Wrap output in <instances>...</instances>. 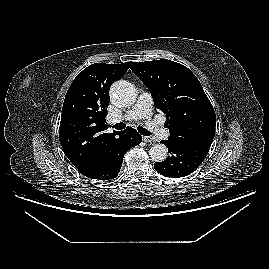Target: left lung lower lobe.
I'll return each mask as SVG.
<instances>
[{"label":"left lung lower lobe","instance_id":"0a47b994","mask_svg":"<svg viewBox=\"0 0 269 269\" xmlns=\"http://www.w3.org/2000/svg\"><path fill=\"white\" fill-rule=\"evenodd\" d=\"M168 147L170 156L163 162L154 163L157 172L167 177H185L193 173L207 156L210 146H184L169 140L161 141Z\"/></svg>","mask_w":269,"mask_h":269}]
</instances>
